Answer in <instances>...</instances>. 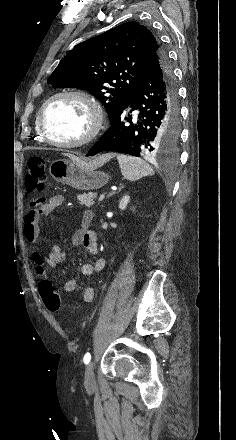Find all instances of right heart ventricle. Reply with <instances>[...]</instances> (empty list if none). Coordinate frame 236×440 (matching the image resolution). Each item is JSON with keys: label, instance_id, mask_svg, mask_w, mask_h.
Masks as SVG:
<instances>
[{"label": "right heart ventricle", "instance_id": "obj_1", "mask_svg": "<svg viewBox=\"0 0 236 440\" xmlns=\"http://www.w3.org/2000/svg\"><path fill=\"white\" fill-rule=\"evenodd\" d=\"M36 132H37L39 141H43V138L41 136V133H40V130H39V127H38L37 119H36Z\"/></svg>", "mask_w": 236, "mask_h": 440}]
</instances>
